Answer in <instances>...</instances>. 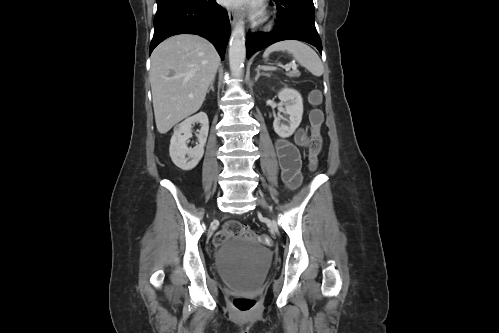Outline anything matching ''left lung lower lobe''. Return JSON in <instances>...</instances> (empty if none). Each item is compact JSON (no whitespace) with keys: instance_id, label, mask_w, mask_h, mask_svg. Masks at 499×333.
I'll use <instances>...</instances> for the list:
<instances>
[{"instance_id":"1","label":"left lung lower lobe","mask_w":499,"mask_h":333,"mask_svg":"<svg viewBox=\"0 0 499 333\" xmlns=\"http://www.w3.org/2000/svg\"><path fill=\"white\" fill-rule=\"evenodd\" d=\"M277 19L275 31L248 34L246 39L247 58L257 51L282 40H300L315 46L322 54L321 39L315 28L313 0H273Z\"/></svg>"}]
</instances>
